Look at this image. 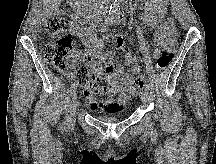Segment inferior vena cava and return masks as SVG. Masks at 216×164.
Here are the masks:
<instances>
[{"label":"inferior vena cava","mask_w":216,"mask_h":164,"mask_svg":"<svg viewBox=\"0 0 216 164\" xmlns=\"http://www.w3.org/2000/svg\"><path fill=\"white\" fill-rule=\"evenodd\" d=\"M106 0H99V2H101L100 5H103V3H105Z\"/></svg>","instance_id":"obj_1"}]
</instances>
